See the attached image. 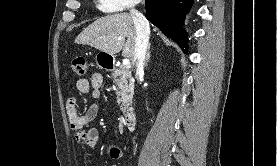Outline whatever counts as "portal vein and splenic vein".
I'll list each match as a JSON object with an SVG mask.
<instances>
[{"label": "portal vein and splenic vein", "instance_id": "1", "mask_svg": "<svg viewBox=\"0 0 277 166\" xmlns=\"http://www.w3.org/2000/svg\"><path fill=\"white\" fill-rule=\"evenodd\" d=\"M123 65L126 67V68H129L130 67V61H129V59H124L123 60Z\"/></svg>", "mask_w": 277, "mask_h": 166}]
</instances>
